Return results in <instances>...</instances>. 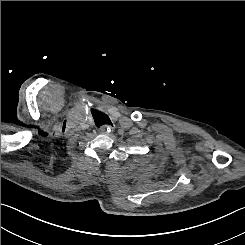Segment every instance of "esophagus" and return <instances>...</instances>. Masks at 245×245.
Instances as JSON below:
<instances>
[{"instance_id":"obj_1","label":"esophagus","mask_w":245,"mask_h":245,"mask_svg":"<svg viewBox=\"0 0 245 245\" xmlns=\"http://www.w3.org/2000/svg\"><path fill=\"white\" fill-rule=\"evenodd\" d=\"M111 129H113V127H111V126H103L101 129H100V132L101 133H107V132H109Z\"/></svg>"}]
</instances>
